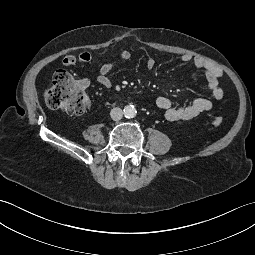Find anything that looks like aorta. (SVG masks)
Masks as SVG:
<instances>
[{"mask_svg":"<svg viewBox=\"0 0 255 255\" xmlns=\"http://www.w3.org/2000/svg\"><path fill=\"white\" fill-rule=\"evenodd\" d=\"M136 113V108L133 105H127L124 107V115L126 118H133Z\"/></svg>","mask_w":255,"mask_h":255,"instance_id":"aorta-1","label":"aorta"}]
</instances>
